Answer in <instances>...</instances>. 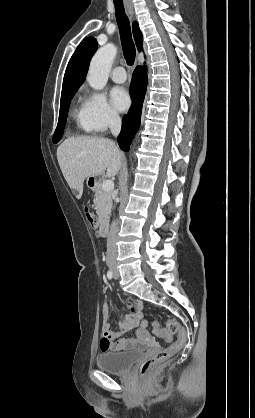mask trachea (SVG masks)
Returning <instances> with one entry per match:
<instances>
[{"instance_id": "3493384b", "label": "trachea", "mask_w": 255, "mask_h": 418, "mask_svg": "<svg viewBox=\"0 0 255 418\" xmlns=\"http://www.w3.org/2000/svg\"><path fill=\"white\" fill-rule=\"evenodd\" d=\"M115 5L116 20L120 32L123 55L128 65L135 61V45L131 35L129 19L125 13L122 0H113Z\"/></svg>"}]
</instances>
